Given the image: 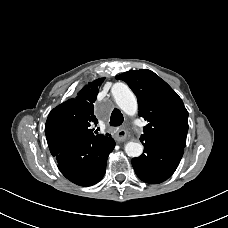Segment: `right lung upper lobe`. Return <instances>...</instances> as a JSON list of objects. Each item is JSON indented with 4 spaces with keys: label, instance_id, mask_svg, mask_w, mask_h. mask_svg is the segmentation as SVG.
Here are the masks:
<instances>
[{
    "label": "right lung upper lobe",
    "instance_id": "obj_1",
    "mask_svg": "<svg viewBox=\"0 0 228 228\" xmlns=\"http://www.w3.org/2000/svg\"><path fill=\"white\" fill-rule=\"evenodd\" d=\"M105 78L85 85L76 98L69 99L54 108L48 115L45 134L49 146L61 144L79 137H110L93 132L98 121L94 115V102Z\"/></svg>",
    "mask_w": 228,
    "mask_h": 228
}]
</instances>
